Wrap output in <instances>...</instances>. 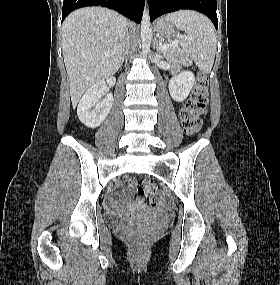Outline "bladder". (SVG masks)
Wrapping results in <instances>:
<instances>
[{
	"label": "bladder",
	"mask_w": 280,
	"mask_h": 285,
	"mask_svg": "<svg viewBox=\"0 0 280 285\" xmlns=\"http://www.w3.org/2000/svg\"><path fill=\"white\" fill-rule=\"evenodd\" d=\"M110 221H111V222H117V221H119V219H118V218H115V217H111V218H110Z\"/></svg>",
	"instance_id": "obj_1"
}]
</instances>
